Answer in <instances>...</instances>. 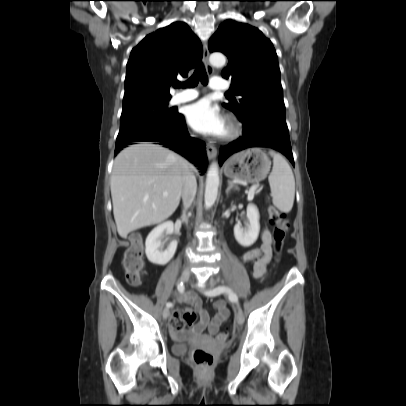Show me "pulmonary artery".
Wrapping results in <instances>:
<instances>
[{
  "label": "pulmonary artery",
  "mask_w": 406,
  "mask_h": 406,
  "mask_svg": "<svg viewBox=\"0 0 406 406\" xmlns=\"http://www.w3.org/2000/svg\"><path fill=\"white\" fill-rule=\"evenodd\" d=\"M229 87V82L226 79L220 77H213L210 82V88L215 91L226 90ZM199 93L195 89H186L184 91L176 93L170 103L172 105H178L192 101L198 97Z\"/></svg>",
  "instance_id": "e3ab8cb5"
}]
</instances>
